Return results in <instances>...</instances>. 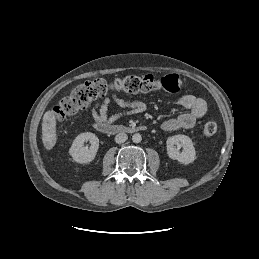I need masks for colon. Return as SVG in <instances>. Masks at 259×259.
I'll use <instances>...</instances> for the list:
<instances>
[{
  "mask_svg": "<svg viewBox=\"0 0 259 259\" xmlns=\"http://www.w3.org/2000/svg\"><path fill=\"white\" fill-rule=\"evenodd\" d=\"M187 90V86L177 75L156 77L151 74L137 76L130 75L113 81L94 79L85 81L75 87L71 93L65 96L54 107V116L58 121H63L84 110L92 101L102 98L110 91H123L126 93H149L152 91H165L179 93ZM217 125L213 121H207L202 133L209 138L216 134Z\"/></svg>",
  "mask_w": 259,
  "mask_h": 259,
  "instance_id": "obj_1",
  "label": "colon"
}]
</instances>
